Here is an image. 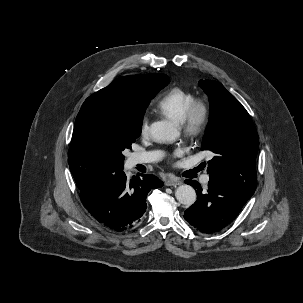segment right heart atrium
I'll use <instances>...</instances> for the list:
<instances>
[{
    "label": "right heart atrium",
    "mask_w": 303,
    "mask_h": 303,
    "mask_svg": "<svg viewBox=\"0 0 303 303\" xmlns=\"http://www.w3.org/2000/svg\"><path fill=\"white\" fill-rule=\"evenodd\" d=\"M149 132V122L147 117H143L140 122V134L146 136Z\"/></svg>",
    "instance_id": "1"
}]
</instances>
